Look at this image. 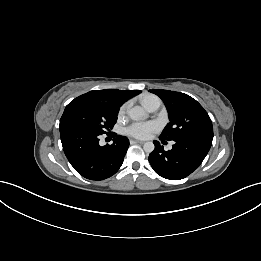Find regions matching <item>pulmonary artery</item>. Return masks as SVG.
Listing matches in <instances>:
<instances>
[{
	"mask_svg": "<svg viewBox=\"0 0 261 261\" xmlns=\"http://www.w3.org/2000/svg\"><path fill=\"white\" fill-rule=\"evenodd\" d=\"M161 106V100L154 96L153 98H151L145 105V109L150 112V113H153V112H156Z\"/></svg>",
	"mask_w": 261,
	"mask_h": 261,
	"instance_id": "pulmonary-artery-1",
	"label": "pulmonary artery"
}]
</instances>
